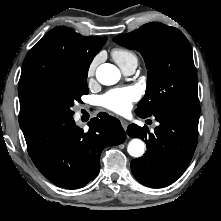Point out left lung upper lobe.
Instances as JSON below:
<instances>
[{"label": "left lung upper lobe", "mask_w": 221, "mask_h": 221, "mask_svg": "<svg viewBox=\"0 0 221 221\" xmlns=\"http://www.w3.org/2000/svg\"><path fill=\"white\" fill-rule=\"evenodd\" d=\"M113 41L141 52L146 62L147 89L136 114L150 116L155 108H162L200 115L192 48L180 30L158 22L148 23Z\"/></svg>", "instance_id": "obj_1"}]
</instances>
